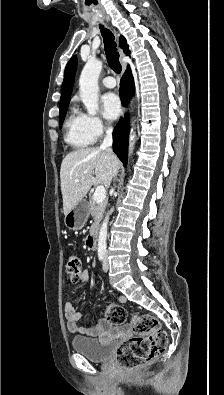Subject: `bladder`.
<instances>
[{
	"label": "bladder",
	"instance_id": "bladder-1",
	"mask_svg": "<svg viewBox=\"0 0 224 395\" xmlns=\"http://www.w3.org/2000/svg\"><path fill=\"white\" fill-rule=\"evenodd\" d=\"M73 350L92 362L107 361L112 353L113 341L98 338L76 336L71 340Z\"/></svg>",
	"mask_w": 224,
	"mask_h": 395
}]
</instances>
